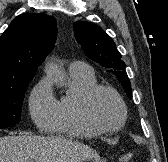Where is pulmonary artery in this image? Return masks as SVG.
Masks as SVG:
<instances>
[{"instance_id":"pulmonary-artery-1","label":"pulmonary artery","mask_w":168,"mask_h":162,"mask_svg":"<svg viewBox=\"0 0 168 162\" xmlns=\"http://www.w3.org/2000/svg\"><path fill=\"white\" fill-rule=\"evenodd\" d=\"M69 71L71 72H81V73H88L92 71V69L84 62L75 61L69 65Z\"/></svg>"}]
</instances>
